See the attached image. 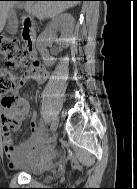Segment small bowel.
<instances>
[{"mask_svg":"<svg viewBox=\"0 0 137 189\" xmlns=\"http://www.w3.org/2000/svg\"><path fill=\"white\" fill-rule=\"evenodd\" d=\"M47 78L46 69L38 62H34L22 76L21 82L33 79L37 83H43ZM11 99L10 105L0 103L1 133L9 165L23 168L45 163L52 156L53 147L49 144H42L44 127L37 122L35 113L31 116L30 136L18 145L12 142L11 131L19 129L29 115L30 107L27 100L20 96L19 91H15Z\"/></svg>","mask_w":137,"mask_h":189,"instance_id":"small-bowel-1","label":"small bowel"}]
</instances>
